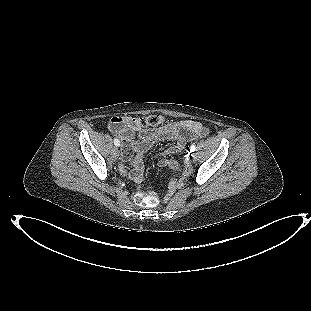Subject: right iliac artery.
Instances as JSON below:
<instances>
[{
    "mask_svg": "<svg viewBox=\"0 0 311 311\" xmlns=\"http://www.w3.org/2000/svg\"><path fill=\"white\" fill-rule=\"evenodd\" d=\"M114 144H115L116 146H119V145H120V141H119L118 139H114Z\"/></svg>",
    "mask_w": 311,
    "mask_h": 311,
    "instance_id": "obj_1",
    "label": "right iliac artery"
}]
</instances>
